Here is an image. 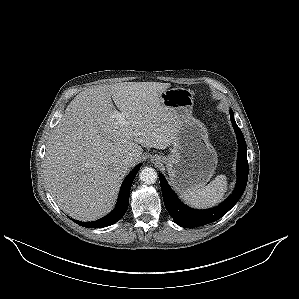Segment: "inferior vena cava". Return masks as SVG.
Here are the masks:
<instances>
[{
    "instance_id": "1",
    "label": "inferior vena cava",
    "mask_w": 299,
    "mask_h": 299,
    "mask_svg": "<svg viewBox=\"0 0 299 299\" xmlns=\"http://www.w3.org/2000/svg\"><path fill=\"white\" fill-rule=\"evenodd\" d=\"M133 161H134V157L132 154H127L123 159V163L125 165H130L131 163H133Z\"/></svg>"
}]
</instances>
